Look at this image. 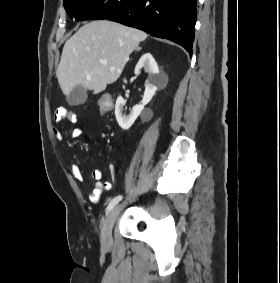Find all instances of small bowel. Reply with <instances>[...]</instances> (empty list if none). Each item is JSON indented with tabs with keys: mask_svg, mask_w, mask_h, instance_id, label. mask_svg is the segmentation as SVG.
Instances as JSON below:
<instances>
[{
	"mask_svg": "<svg viewBox=\"0 0 280 283\" xmlns=\"http://www.w3.org/2000/svg\"><path fill=\"white\" fill-rule=\"evenodd\" d=\"M55 119L57 122H60L62 120L73 122L76 119V116L72 111L67 110L66 108H59L55 114ZM53 134L58 141H61L64 138V133L60 129L55 128L53 130ZM68 135L71 139H80L85 136V132L80 127H74L69 130ZM70 171L75 178L78 179L82 177L81 169L77 164L75 163L72 164ZM91 178L95 181V183H94V189L90 195V199L92 202H98L101 194L105 190L110 189L111 184L109 182L107 183L101 182L102 172L100 170H93L91 172Z\"/></svg>",
	"mask_w": 280,
	"mask_h": 283,
	"instance_id": "obj_1",
	"label": "small bowel"
}]
</instances>
